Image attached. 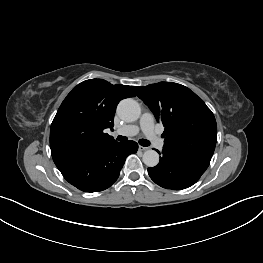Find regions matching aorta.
Listing matches in <instances>:
<instances>
[{"mask_svg": "<svg viewBox=\"0 0 263 263\" xmlns=\"http://www.w3.org/2000/svg\"><path fill=\"white\" fill-rule=\"evenodd\" d=\"M117 113L123 120L133 122L140 117L141 109L138 102L132 98H127L118 104ZM142 159L148 167H155L159 163V154L154 150H147Z\"/></svg>", "mask_w": 263, "mask_h": 263, "instance_id": "1", "label": "aorta"}]
</instances>
